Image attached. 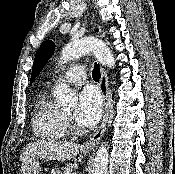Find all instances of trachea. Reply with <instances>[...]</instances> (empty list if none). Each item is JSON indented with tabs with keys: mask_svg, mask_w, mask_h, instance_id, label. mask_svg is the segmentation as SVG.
<instances>
[{
	"mask_svg": "<svg viewBox=\"0 0 175 174\" xmlns=\"http://www.w3.org/2000/svg\"><path fill=\"white\" fill-rule=\"evenodd\" d=\"M92 76H93V79L95 81H99V79L101 78L100 68H99V65L97 63H95V65H94Z\"/></svg>",
	"mask_w": 175,
	"mask_h": 174,
	"instance_id": "obj_1",
	"label": "trachea"
}]
</instances>
